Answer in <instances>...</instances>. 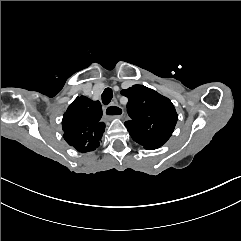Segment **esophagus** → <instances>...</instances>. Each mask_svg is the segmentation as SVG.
Wrapping results in <instances>:
<instances>
[{"mask_svg": "<svg viewBox=\"0 0 241 241\" xmlns=\"http://www.w3.org/2000/svg\"><path fill=\"white\" fill-rule=\"evenodd\" d=\"M123 113V108L114 102L106 106L103 111V114L107 119L120 118Z\"/></svg>", "mask_w": 241, "mask_h": 241, "instance_id": "esophagus-1", "label": "esophagus"}]
</instances>
